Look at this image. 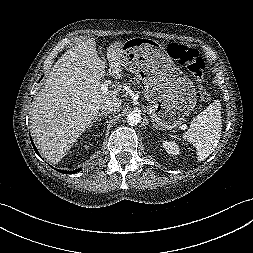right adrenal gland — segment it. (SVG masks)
<instances>
[{"label": "right adrenal gland", "instance_id": "2a0ac1e0", "mask_svg": "<svg viewBox=\"0 0 253 253\" xmlns=\"http://www.w3.org/2000/svg\"><path fill=\"white\" fill-rule=\"evenodd\" d=\"M107 116V114H105V113H99L96 117H95V119H94V121L92 122V123H95L97 120H99V118H105Z\"/></svg>", "mask_w": 253, "mask_h": 253}]
</instances>
